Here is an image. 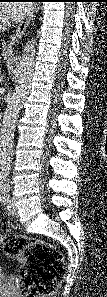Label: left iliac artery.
<instances>
[{"instance_id":"left-iliac-artery-1","label":"left iliac artery","mask_w":107,"mask_h":297,"mask_svg":"<svg viewBox=\"0 0 107 297\" xmlns=\"http://www.w3.org/2000/svg\"><path fill=\"white\" fill-rule=\"evenodd\" d=\"M8 190L3 188L1 190L2 196L0 197V201L5 205L7 204L10 200H9V194H8Z\"/></svg>"}]
</instances>
